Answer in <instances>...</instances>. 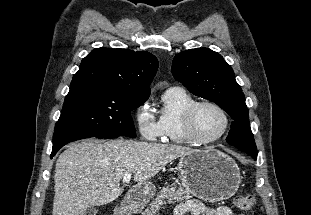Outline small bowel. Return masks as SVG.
<instances>
[{
  "mask_svg": "<svg viewBox=\"0 0 311 215\" xmlns=\"http://www.w3.org/2000/svg\"><path fill=\"white\" fill-rule=\"evenodd\" d=\"M239 215L235 214L229 207L220 206L212 208L203 202L190 199L185 202L178 204L175 207L174 215Z\"/></svg>",
  "mask_w": 311,
  "mask_h": 215,
  "instance_id": "obj_1",
  "label": "small bowel"
}]
</instances>
